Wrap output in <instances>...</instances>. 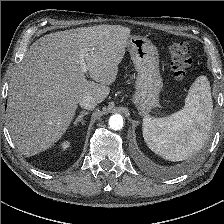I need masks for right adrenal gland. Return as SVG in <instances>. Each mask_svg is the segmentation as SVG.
Instances as JSON below:
<instances>
[{
    "label": "right adrenal gland",
    "instance_id": "2a0ac1e0",
    "mask_svg": "<svg viewBox=\"0 0 224 224\" xmlns=\"http://www.w3.org/2000/svg\"><path fill=\"white\" fill-rule=\"evenodd\" d=\"M88 112L86 111H81L79 113V115L77 116L76 120L74 121V125L76 126L78 122H80L81 124H84V121H83V116L87 115Z\"/></svg>",
    "mask_w": 224,
    "mask_h": 224
}]
</instances>
